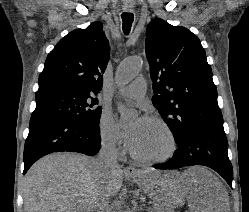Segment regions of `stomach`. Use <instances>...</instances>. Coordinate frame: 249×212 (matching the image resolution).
Listing matches in <instances>:
<instances>
[{
	"instance_id": "0dacf381",
	"label": "stomach",
	"mask_w": 249,
	"mask_h": 212,
	"mask_svg": "<svg viewBox=\"0 0 249 212\" xmlns=\"http://www.w3.org/2000/svg\"><path fill=\"white\" fill-rule=\"evenodd\" d=\"M143 189L148 198H187L183 184L187 179H180L176 170H146L141 175ZM154 204H183V199H154ZM164 210H184V205H164Z\"/></svg>"
}]
</instances>
